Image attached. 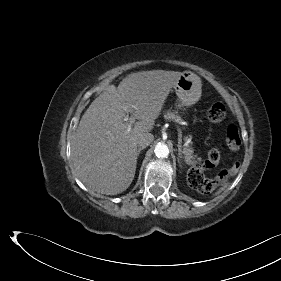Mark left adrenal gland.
I'll use <instances>...</instances> for the list:
<instances>
[{"mask_svg": "<svg viewBox=\"0 0 281 281\" xmlns=\"http://www.w3.org/2000/svg\"><path fill=\"white\" fill-rule=\"evenodd\" d=\"M178 155H179L178 162H179L180 166H182V165H181V163H182V162H181V153L179 152Z\"/></svg>", "mask_w": 281, "mask_h": 281, "instance_id": "1", "label": "left adrenal gland"}]
</instances>
